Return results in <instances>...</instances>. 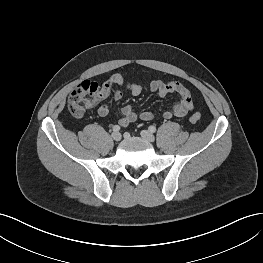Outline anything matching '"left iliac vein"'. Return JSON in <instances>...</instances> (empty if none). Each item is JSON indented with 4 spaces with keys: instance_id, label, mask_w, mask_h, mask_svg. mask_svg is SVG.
I'll list each match as a JSON object with an SVG mask.
<instances>
[{
    "instance_id": "left-iliac-vein-1",
    "label": "left iliac vein",
    "mask_w": 263,
    "mask_h": 263,
    "mask_svg": "<svg viewBox=\"0 0 263 263\" xmlns=\"http://www.w3.org/2000/svg\"><path fill=\"white\" fill-rule=\"evenodd\" d=\"M140 135L149 142H153L155 140L154 135L148 130H142Z\"/></svg>"
}]
</instances>
